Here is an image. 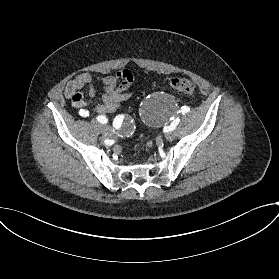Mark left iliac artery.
<instances>
[{
    "label": "left iliac artery",
    "mask_w": 279,
    "mask_h": 279,
    "mask_svg": "<svg viewBox=\"0 0 279 279\" xmlns=\"http://www.w3.org/2000/svg\"><path fill=\"white\" fill-rule=\"evenodd\" d=\"M189 111H190V108H189L188 106H183V107L181 108L182 114L187 113V112H189ZM174 126H176V125H174ZM173 129H174V127L171 128V130H173Z\"/></svg>",
    "instance_id": "obj_1"
}]
</instances>
